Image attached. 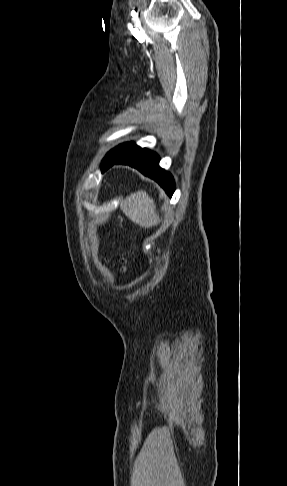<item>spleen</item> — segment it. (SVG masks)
Wrapping results in <instances>:
<instances>
[{
    "label": "spleen",
    "mask_w": 287,
    "mask_h": 486,
    "mask_svg": "<svg viewBox=\"0 0 287 486\" xmlns=\"http://www.w3.org/2000/svg\"><path fill=\"white\" fill-rule=\"evenodd\" d=\"M120 208L131 221L141 227L149 228L159 222L155 202L146 191L131 193L121 202Z\"/></svg>",
    "instance_id": "spleen-1"
}]
</instances>
